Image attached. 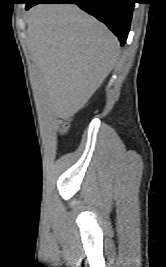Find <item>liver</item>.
<instances>
[{
  "mask_svg": "<svg viewBox=\"0 0 166 267\" xmlns=\"http://www.w3.org/2000/svg\"><path fill=\"white\" fill-rule=\"evenodd\" d=\"M27 41L52 112L63 118L88 102L120 54L117 37L71 4H42L31 9Z\"/></svg>",
  "mask_w": 166,
  "mask_h": 267,
  "instance_id": "6515ba94",
  "label": "liver"
}]
</instances>
